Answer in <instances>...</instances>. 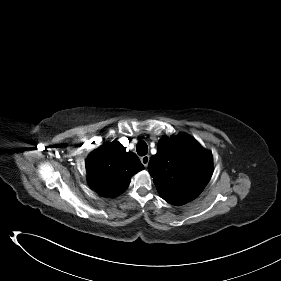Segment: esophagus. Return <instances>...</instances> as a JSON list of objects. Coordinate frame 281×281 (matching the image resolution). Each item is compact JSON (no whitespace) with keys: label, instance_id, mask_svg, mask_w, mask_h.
Returning a JSON list of instances; mask_svg holds the SVG:
<instances>
[{"label":"esophagus","instance_id":"34e87169","mask_svg":"<svg viewBox=\"0 0 281 281\" xmlns=\"http://www.w3.org/2000/svg\"><path fill=\"white\" fill-rule=\"evenodd\" d=\"M140 160H141V163H142L145 167H147V165H148V163H149V160H150V156H149V155L142 156V157L140 158Z\"/></svg>","mask_w":281,"mask_h":281}]
</instances>
